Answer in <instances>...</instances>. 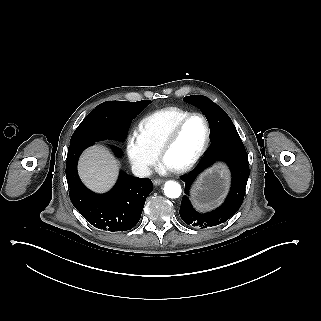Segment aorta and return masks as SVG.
<instances>
[{
	"instance_id": "1",
	"label": "aorta",
	"mask_w": 321,
	"mask_h": 321,
	"mask_svg": "<svg viewBox=\"0 0 321 321\" xmlns=\"http://www.w3.org/2000/svg\"><path fill=\"white\" fill-rule=\"evenodd\" d=\"M182 193L181 186L176 181H167L164 187V194L168 198H178Z\"/></svg>"
}]
</instances>
